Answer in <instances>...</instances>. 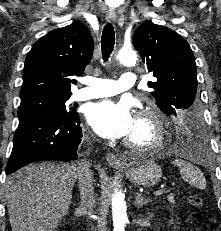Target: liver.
<instances>
[{
    "mask_svg": "<svg viewBox=\"0 0 221 231\" xmlns=\"http://www.w3.org/2000/svg\"><path fill=\"white\" fill-rule=\"evenodd\" d=\"M77 166L30 164L5 182L12 231H55L68 212Z\"/></svg>",
    "mask_w": 221,
    "mask_h": 231,
    "instance_id": "6515ba94",
    "label": "liver"
}]
</instances>
